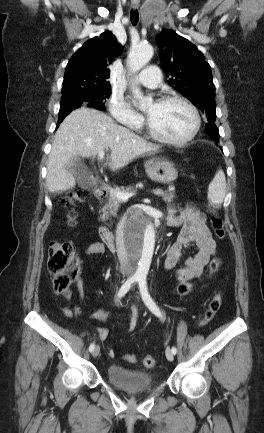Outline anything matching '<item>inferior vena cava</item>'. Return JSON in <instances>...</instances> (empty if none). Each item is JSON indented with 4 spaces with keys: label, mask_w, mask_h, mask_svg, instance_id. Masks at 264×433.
<instances>
[{
    "label": "inferior vena cava",
    "mask_w": 264,
    "mask_h": 433,
    "mask_svg": "<svg viewBox=\"0 0 264 433\" xmlns=\"http://www.w3.org/2000/svg\"><path fill=\"white\" fill-rule=\"evenodd\" d=\"M116 241H117V245H116V256L120 259V263H121V268H124L128 262L125 261V253L122 251L121 246H122V241H121V236H116ZM131 252H140V251H131Z\"/></svg>",
    "instance_id": "obj_1"
}]
</instances>
